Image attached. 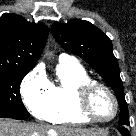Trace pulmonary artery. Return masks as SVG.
Wrapping results in <instances>:
<instances>
[{
	"instance_id": "pulmonary-artery-1",
	"label": "pulmonary artery",
	"mask_w": 136,
	"mask_h": 136,
	"mask_svg": "<svg viewBox=\"0 0 136 136\" xmlns=\"http://www.w3.org/2000/svg\"><path fill=\"white\" fill-rule=\"evenodd\" d=\"M59 61L60 62H73V63H76V59L70 55H67V54H61L59 56Z\"/></svg>"
}]
</instances>
